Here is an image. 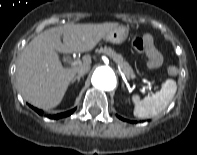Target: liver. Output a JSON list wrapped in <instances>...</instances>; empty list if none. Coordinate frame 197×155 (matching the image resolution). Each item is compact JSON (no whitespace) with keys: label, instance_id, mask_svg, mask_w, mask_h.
Here are the masks:
<instances>
[{"label":"liver","instance_id":"liver-1","mask_svg":"<svg viewBox=\"0 0 197 155\" xmlns=\"http://www.w3.org/2000/svg\"><path fill=\"white\" fill-rule=\"evenodd\" d=\"M117 26V23H70L50 28L37 35L23 49L17 62L16 80L23 98L42 109L59 105L78 69L90 68L91 56H84L79 65L65 68L60 64L57 52L91 51Z\"/></svg>","mask_w":197,"mask_h":155}]
</instances>
